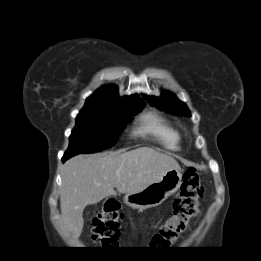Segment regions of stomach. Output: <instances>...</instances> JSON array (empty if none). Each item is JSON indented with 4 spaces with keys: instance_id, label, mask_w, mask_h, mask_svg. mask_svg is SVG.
I'll list each match as a JSON object with an SVG mask.
<instances>
[{
    "instance_id": "1",
    "label": "stomach",
    "mask_w": 261,
    "mask_h": 261,
    "mask_svg": "<svg viewBox=\"0 0 261 261\" xmlns=\"http://www.w3.org/2000/svg\"><path fill=\"white\" fill-rule=\"evenodd\" d=\"M182 184L180 169H172L157 182L149 184L144 189L135 193H128L124 203L133 209L144 210L155 207L174 194Z\"/></svg>"
}]
</instances>
